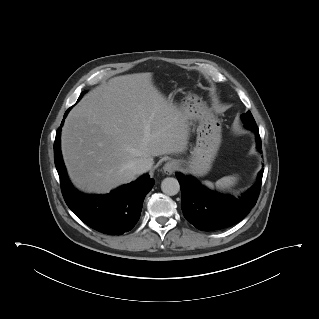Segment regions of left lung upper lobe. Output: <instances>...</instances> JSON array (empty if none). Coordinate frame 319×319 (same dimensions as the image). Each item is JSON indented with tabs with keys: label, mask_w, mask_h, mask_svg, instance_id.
I'll return each mask as SVG.
<instances>
[{
	"label": "left lung upper lobe",
	"mask_w": 319,
	"mask_h": 319,
	"mask_svg": "<svg viewBox=\"0 0 319 319\" xmlns=\"http://www.w3.org/2000/svg\"><path fill=\"white\" fill-rule=\"evenodd\" d=\"M241 118H242L243 122L245 123V125H256L255 120H254L252 114L250 113V111L243 113L241 115Z\"/></svg>",
	"instance_id": "5c2ea615"
}]
</instances>
